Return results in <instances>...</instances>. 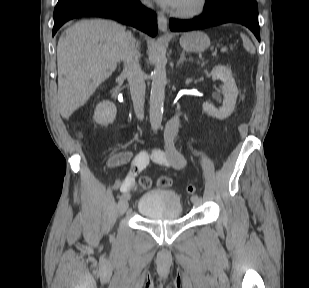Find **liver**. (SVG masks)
<instances>
[{"mask_svg":"<svg viewBox=\"0 0 309 288\" xmlns=\"http://www.w3.org/2000/svg\"><path fill=\"white\" fill-rule=\"evenodd\" d=\"M129 32L108 20H82L57 45L58 106L68 119L117 68Z\"/></svg>","mask_w":309,"mask_h":288,"instance_id":"1","label":"liver"}]
</instances>
